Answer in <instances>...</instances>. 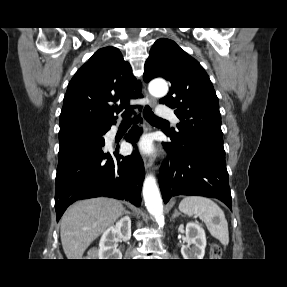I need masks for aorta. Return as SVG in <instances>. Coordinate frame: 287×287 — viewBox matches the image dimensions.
<instances>
[{"label":"aorta","mask_w":287,"mask_h":287,"mask_svg":"<svg viewBox=\"0 0 287 287\" xmlns=\"http://www.w3.org/2000/svg\"><path fill=\"white\" fill-rule=\"evenodd\" d=\"M149 92L156 97L165 96L168 85L165 81H153L149 84ZM143 197L148 212L156 219L159 225H164L163 204L160 192L153 175H148L143 184Z\"/></svg>","instance_id":"obj_1"}]
</instances>
